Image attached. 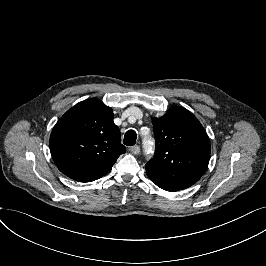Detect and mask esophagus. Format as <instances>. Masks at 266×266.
<instances>
[{"mask_svg":"<svg viewBox=\"0 0 266 266\" xmlns=\"http://www.w3.org/2000/svg\"><path fill=\"white\" fill-rule=\"evenodd\" d=\"M129 150L134 155H138L140 153V147L139 146H132V147H130Z\"/></svg>","mask_w":266,"mask_h":266,"instance_id":"34e87169","label":"esophagus"}]
</instances>
